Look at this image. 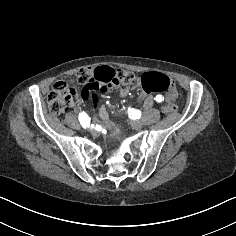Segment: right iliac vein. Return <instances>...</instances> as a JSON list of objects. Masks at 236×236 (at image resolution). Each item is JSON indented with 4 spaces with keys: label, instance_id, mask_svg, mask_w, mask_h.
I'll use <instances>...</instances> for the list:
<instances>
[{
    "label": "right iliac vein",
    "instance_id": "63e3f726",
    "mask_svg": "<svg viewBox=\"0 0 236 236\" xmlns=\"http://www.w3.org/2000/svg\"><path fill=\"white\" fill-rule=\"evenodd\" d=\"M89 131H90V134H91V135H94V134H95L94 129H93V130H90V129H89Z\"/></svg>",
    "mask_w": 236,
    "mask_h": 236
}]
</instances>
